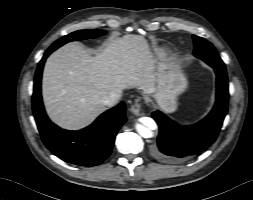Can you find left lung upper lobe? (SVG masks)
I'll return each instance as SVG.
<instances>
[{
  "label": "left lung upper lobe",
  "mask_w": 253,
  "mask_h": 200,
  "mask_svg": "<svg viewBox=\"0 0 253 200\" xmlns=\"http://www.w3.org/2000/svg\"><path fill=\"white\" fill-rule=\"evenodd\" d=\"M193 40L195 47L194 55L196 57L202 59L211 67H218L220 69L226 70L225 64L223 63L216 50L214 49L213 45L209 41L196 35H193Z\"/></svg>",
  "instance_id": "1"
}]
</instances>
